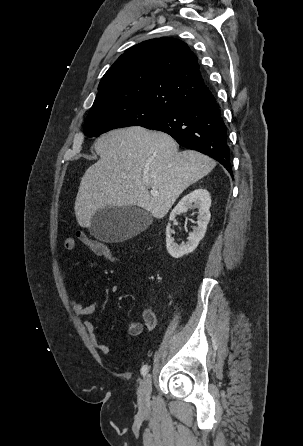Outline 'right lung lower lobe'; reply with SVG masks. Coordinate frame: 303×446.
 Segmentation results:
<instances>
[{
    "label": "right lung lower lobe",
    "instance_id": "98d812e1",
    "mask_svg": "<svg viewBox=\"0 0 303 446\" xmlns=\"http://www.w3.org/2000/svg\"><path fill=\"white\" fill-rule=\"evenodd\" d=\"M140 126L168 133L181 146L217 160L232 175L226 126L211 92L181 103Z\"/></svg>",
    "mask_w": 303,
    "mask_h": 446
}]
</instances>
